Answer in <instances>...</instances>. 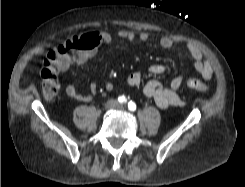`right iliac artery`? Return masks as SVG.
Listing matches in <instances>:
<instances>
[{
  "mask_svg": "<svg viewBox=\"0 0 245 187\" xmlns=\"http://www.w3.org/2000/svg\"><path fill=\"white\" fill-rule=\"evenodd\" d=\"M118 101L120 103H125L127 101L126 97L124 95L118 97Z\"/></svg>",
  "mask_w": 245,
  "mask_h": 187,
  "instance_id": "right-iliac-artery-1",
  "label": "right iliac artery"
}]
</instances>
